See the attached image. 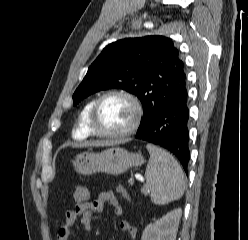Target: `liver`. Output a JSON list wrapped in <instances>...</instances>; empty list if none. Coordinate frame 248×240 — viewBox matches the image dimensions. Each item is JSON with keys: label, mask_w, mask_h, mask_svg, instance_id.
I'll list each match as a JSON object with an SVG mask.
<instances>
[{"label": "liver", "mask_w": 248, "mask_h": 240, "mask_svg": "<svg viewBox=\"0 0 248 240\" xmlns=\"http://www.w3.org/2000/svg\"><path fill=\"white\" fill-rule=\"evenodd\" d=\"M104 143L101 142H91V143H87L85 144V146H100L103 145Z\"/></svg>", "instance_id": "1"}]
</instances>
